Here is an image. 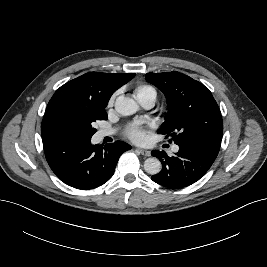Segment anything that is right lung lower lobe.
<instances>
[{
	"label": "right lung lower lobe",
	"mask_w": 267,
	"mask_h": 267,
	"mask_svg": "<svg viewBox=\"0 0 267 267\" xmlns=\"http://www.w3.org/2000/svg\"><path fill=\"white\" fill-rule=\"evenodd\" d=\"M41 134L50 168L65 184L77 189L103 185L114 174L121 154L131 149L121 141L102 147L92 145L91 138L69 137L56 132Z\"/></svg>",
	"instance_id": "1"
}]
</instances>
